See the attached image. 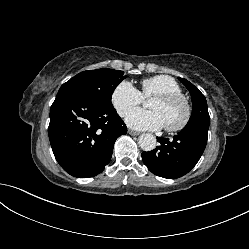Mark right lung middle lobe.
Wrapping results in <instances>:
<instances>
[{
    "label": "right lung middle lobe",
    "mask_w": 249,
    "mask_h": 249,
    "mask_svg": "<svg viewBox=\"0 0 249 249\" xmlns=\"http://www.w3.org/2000/svg\"><path fill=\"white\" fill-rule=\"evenodd\" d=\"M126 77L124 72L113 69L84 71L64 83L59 92H75L96 104L113 107L111 103L112 94Z\"/></svg>",
    "instance_id": "1"
}]
</instances>
